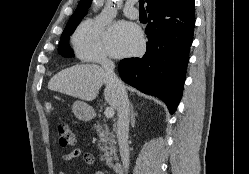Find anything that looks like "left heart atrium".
I'll return each instance as SVG.
<instances>
[{
	"label": "left heart atrium",
	"mask_w": 249,
	"mask_h": 174,
	"mask_svg": "<svg viewBox=\"0 0 249 174\" xmlns=\"http://www.w3.org/2000/svg\"><path fill=\"white\" fill-rule=\"evenodd\" d=\"M105 40L109 52L115 57L135 54L142 46L141 32L126 22L114 24L108 30Z\"/></svg>",
	"instance_id": "1"
}]
</instances>
